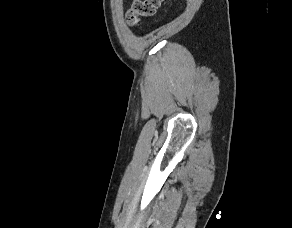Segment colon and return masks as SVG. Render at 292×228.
I'll return each instance as SVG.
<instances>
[{
    "label": "colon",
    "instance_id": "5ec220e1",
    "mask_svg": "<svg viewBox=\"0 0 292 228\" xmlns=\"http://www.w3.org/2000/svg\"><path fill=\"white\" fill-rule=\"evenodd\" d=\"M163 0H134L126 13V21L130 26H137L141 17L153 16Z\"/></svg>",
    "mask_w": 292,
    "mask_h": 228
}]
</instances>
